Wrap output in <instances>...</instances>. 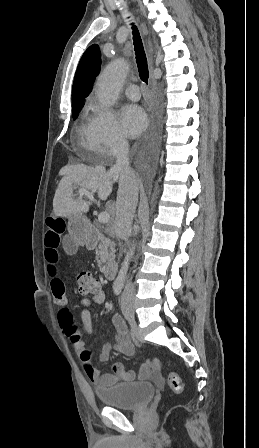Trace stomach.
<instances>
[{
    "label": "stomach",
    "mask_w": 259,
    "mask_h": 448,
    "mask_svg": "<svg viewBox=\"0 0 259 448\" xmlns=\"http://www.w3.org/2000/svg\"><path fill=\"white\" fill-rule=\"evenodd\" d=\"M69 232L80 246L87 244L91 240V224H89L87 218H84L82 212H75L70 214Z\"/></svg>",
    "instance_id": "1"
}]
</instances>
